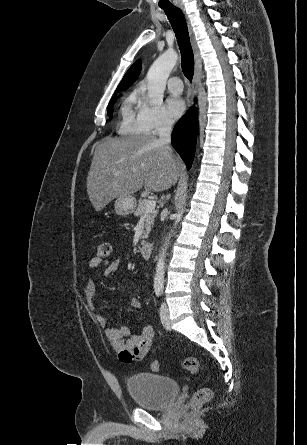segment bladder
<instances>
[{
  "label": "bladder",
  "mask_w": 307,
  "mask_h": 445,
  "mask_svg": "<svg viewBox=\"0 0 307 445\" xmlns=\"http://www.w3.org/2000/svg\"><path fill=\"white\" fill-rule=\"evenodd\" d=\"M127 390L133 402L141 408L161 410L170 406L177 397L180 386L170 377L141 372L129 376Z\"/></svg>",
  "instance_id": "bladder-1"
}]
</instances>
